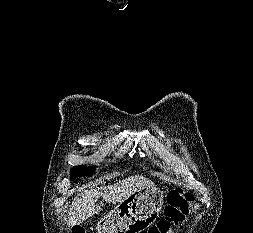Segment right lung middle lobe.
Listing matches in <instances>:
<instances>
[{"instance_id":"right-lung-middle-lobe-1","label":"right lung middle lobe","mask_w":253,"mask_h":233,"mask_svg":"<svg viewBox=\"0 0 253 233\" xmlns=\"http://www.w3.org/2000/svg\"><path fill=\"white\" fill-rule=\"evenodd\" d=\"M94 167H86V166H76L71 169V179L74 180L79 176H91L94 174Z\"/></svg>"}]
</instances>
